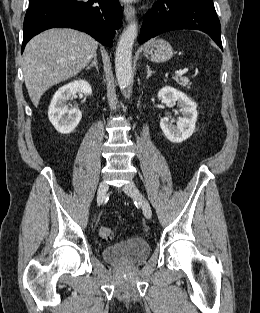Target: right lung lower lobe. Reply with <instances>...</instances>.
I'll return each instance as SVG.
<instances>
[{"instance_id": "obj_1", "label": "right lung lower lobe", "mask_w": 260, "mask_h": 313, "mask_svg": "<svg viewBox=\"0 0 260 313\" xmlns=\"http://www.w3.org/2000/svg\"><path fill=\"white\" fill-rule=\"evenodd\" d=\"M29 3L23 25L22 52L33 36L54 27L86 32L111 47L115 29L121 25L122 9L118 0H29Z\"/></svg>"}]
</instances>
